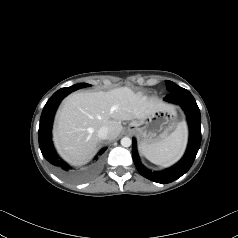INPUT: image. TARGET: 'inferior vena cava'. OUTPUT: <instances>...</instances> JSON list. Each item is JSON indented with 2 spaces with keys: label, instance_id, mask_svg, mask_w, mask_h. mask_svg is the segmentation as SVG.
<instances>
[{
  "label": "inferior vena cava",
  "instance_id": "obj_1",
  "mask_svg": "<svg viewBox=\"0 0 238 238\" xmlns=\"http://www.w3.org/2000/svg\"><path fill=\"white\" fill-rule=\"evenodd\" d=\"M108 128L107 127H101L98 132H97V135H98V138L99 139H107L108 137Z\"/></svg>",
  "mask_w": 238,
  "mask_h": 238
}]
</instances>
